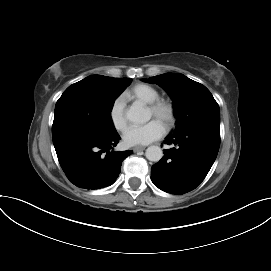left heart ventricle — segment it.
<instances>
[{"label":"left heart ventricle","instance_id":"1","mask_svg":"<svg viewBox=\"0 0 271 271\" xmlns=\"http://www.w3.org/2000/svg\"><path fill=\"white\" fill-rule=\"evenodd\" d=\"M148 116H149V118H151V117H153V114H152V112L150 111V110H148ZM159 120V119H158ZM160 121V120H159ZM161 122V121H160Z\"/></svg>","mask_w":271,"mask_h":271}]
</instances>
